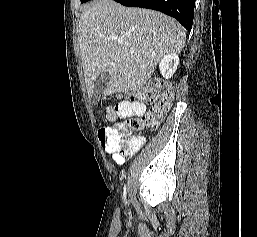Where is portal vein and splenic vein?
<instances>
[{
    "label": "portal vein and splenic vein",
    "mask_w": 257,
    "mask_h": 237,
    "mask_svg": "<svg viewBox=\"0 0 257 237\" xmlns=\"http://www.w3.org/2000/svg\"><path fill=\"white\" fill-rule=\"evenodd\" d=\"M118 43H119V44H122V42H120V41H119Z\"/></svg>",
    "instance_id": "obj_1"
}]
</instances>
